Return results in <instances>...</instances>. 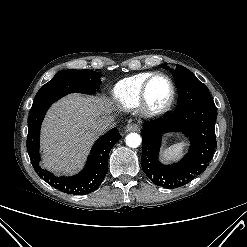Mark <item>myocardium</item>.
Returning a JSON list of instances; mask_svg holds the SVG:
<instances>
[{
  "label": "myocardium",
  "instance_id": "f54148a6",
  "mask_svg": "<svg viewBox=\"0 0 247 247\" xmlns=\"http://www.w3.org/2000/svg\"><path fill=\"white\" fill-rule=\"evenodd\" d=\"M159 77H162L168 81L170 88H171V93H170L169 99L167 100L165 104H163L162 106L156 107V106H153L149 101L148 90H149L151 83L156 78H159ZM175 97H176V87H175L173 80L167 74L159 73V72L154 73L145 81L141 89L140 104H139L140 109L142 113L148 117L162 116L171 109L175 101Z\"/></svg>",
  "mask_w": 247,
  "mask_h": 247
}]
</instances>
